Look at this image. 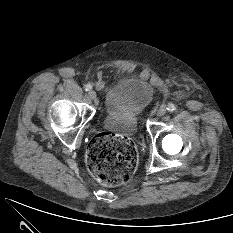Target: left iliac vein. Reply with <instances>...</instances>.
Returning <instances> with one entry per match:
<instances>
[{
	"mask_svg": "<svg viewBox=\"0 0 233 233\" xmlns=\"http://www.w3.org/2000/svg\"><path fill=\"white\" fill-rule=\"evenodd\" d=\"M166 111H167L166 107L165 106H161L158 109V111H157V116L161 117V116L165 115Z\"/></svg>",
	"mask_w": 233,
	"mask_h": 233,
	"instance_id": "left-iliac-vein-1",
	"label": "left iliac vein"
}]
</instances>
